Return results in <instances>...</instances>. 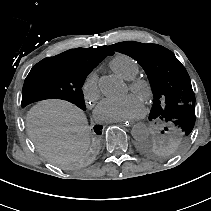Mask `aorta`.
Segmentation results:
<instances>
[{
	"label": "aorta",
	"instance_id": "762f6f07",
	"mask_svg": "<svg viewBox=\"0 0 211 211\" xmlns=\"http://www.w3.org/2000/svg\"><path fill=\"white\" fill-rule=\"evenodd\" d=\"M99 88L103 95L108 98H118L125 91L124 83L115 76H103L99 80ZM131 134L136 141L145 140L149 135V130L144 124H136L131 130Z\"/></svg>",
	"mask_w": 211,
	"mask_h": 211
}]
</instances>
